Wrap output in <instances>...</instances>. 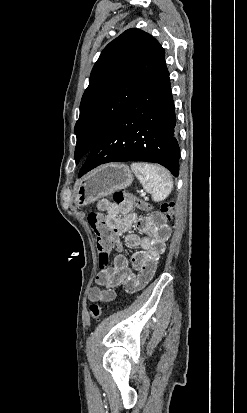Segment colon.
I'll list each match as a JSON object with an SVG mask.
<instances>
[{"instance_id": "obj_1", "label": "colon", "mask_w": 247, "mask_h": 413, "mask_svg": "<svg viewBox=\"0 0 247 413\" xmlns=\"http://www.w3.org/2000/svg\"><path fill=\"white\" fill-rule=\"evenodd\" d=\"M113 199L117 203L128 202L133 207H147V204L142 202L140 198L136 195L127 196L124 190H118L114 193ZM175 204L172 201L163 202L159 208V214L162 217H166L167 221H172L174 217ZM87 221L89 222V227L92 229L93 234H96L97 241V252L100 256V263L102 265H108L111 263V258L109 257V252L112 251V246L110 245V227L106 225L105 217L101 212H92L87 216ZM154 263V262H152ZM91 320H98L103 313V306L99 304H91L88 308Z\"/></svg>"}]
</instances>
